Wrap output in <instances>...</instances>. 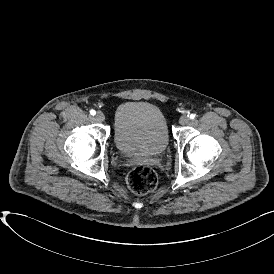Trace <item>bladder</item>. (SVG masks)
<instances>
[{"instance_id":"obj_1","label":"bladder","mask_w":274,"mask_h":274,"mask_svg":"<svg viewBox=\"0 0 274 274\" xmlns=\"http://www.w3.org/2000/svg\"><path fill=\"white\" fill-rule=\"evenodd\" d=\"M113 139L118 151L126 156L160 154L170 142L166 116L152 102L126 101L114 113Z\"/></svg>"}]
</instances>
